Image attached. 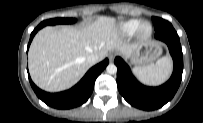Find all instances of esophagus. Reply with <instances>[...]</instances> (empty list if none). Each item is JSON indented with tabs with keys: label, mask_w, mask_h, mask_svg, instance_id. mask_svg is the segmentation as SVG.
<instances>
[{
	"label": "esophagus",
	"mask_w": 203,
	"mask_h": 123,
	"mask_svg": "<svg viewBox=\"0 0 203 123\" xmlns=\"http://www.w3.org/2000/svg\"><path fill=\"white\" fill-rule=\"evenodd\" d=\"M115 56H116L115 53H110L109 54V60H110V62H112L114 60Z\"/></svg>",
	"instance_id": "obj_1"
}]
</instances>
